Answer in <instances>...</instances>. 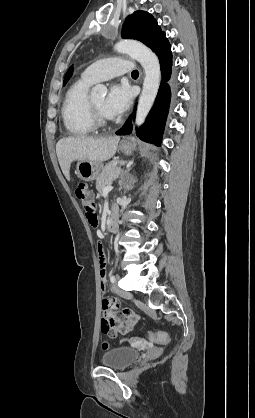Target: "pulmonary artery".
<instances>
[{"label": "pulmonary artery", "mask_w": 255, "mask_h": 418, "mask_svg": "<svg viewBox=\"0 0 255 418\" xmlns=\"http://www.w3.org/2000/svg\"><path fill=\"white\" fill-rule=\"evenodd\" d=\"M133 63L124 58L115 57L97 61L83 72V77L92 83L109 80L133 70Z\"/></svg>", "instance_id": "pulmonary-artery-1"}]
</instances>
